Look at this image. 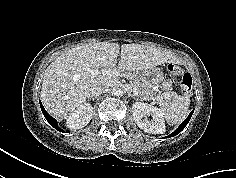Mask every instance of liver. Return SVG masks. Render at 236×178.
<instances>
[{
    "instance_id": "6515ba94",
    "label": "liver",
    "mask_w": 236,
    "mask_h": 178,
    "mask_svg": "<svg viewBox=\"0 0 236 178\" xmlns=\"http://www.w3.org/2000/svg\"><path fill=\"white\" fill-rule=\"evenodd\" d=\"M119 53V71H143L176 62L168 51L135 43L121 47L110 42L75 46L61 53L45 71L41 88L45 109L60 119L68 118L87 100L93 86L111 83L110 76H93L91 70L115 68Z\"/></svg>"
}]
</instances>
